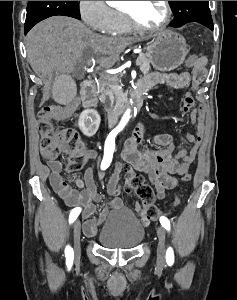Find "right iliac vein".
<instances>
[{"label":"right iliac vein","mask_w":237,"mask_h":300,"mask_svg":"<svg viewBox=\"0 0 237 300\" xmlns=\"http://www.w3.org/2000/svg\"><path fill=\"white\" fill-rule=\"evenodd\" d=\"M80 235H81V225L77 220L73 226V243H74V253L75 256L80 254Z\"/></svg>","instance_id":"1"}]
</instances>
